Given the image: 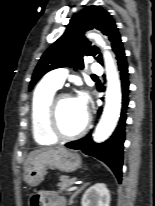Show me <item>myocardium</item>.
Masks as SVG:
<instances>
[{
	"instance_id": "f54148a6",
	"label": "myocardium",
	"mask_w": 155,
	"mask_h": 206,
	"mask_svg": "<svg viewBox=\"0 0 155 206\" xmlns=\"http://www.w3.org/2000/svg\"><path fill=\"white\" fill-rule=\"evenodd\" d=\"M65 98H73V96L70 93H59L54 95L50 100L46 114L47 128L49 132L57 139L72 140L81 137L88 131L91 123V117L89 114H86L84 124L78 131L71 134L62 132L58 125L57 110L59 102Z\"/></svg>"
}]
</instances>
